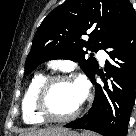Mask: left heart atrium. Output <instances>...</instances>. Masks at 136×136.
<instances>
[{
	"label": "left heart atrium",
	"instance_id": "39dd6f15",
	"mask_svg": "<svg viewBox=\"0 0 136 136\" xmlns=\"http://www.w3.org/2000/svg\"><path fill=\"white\" fill-rule=\"evenodd\" d=\"M75 85L77 87L79 99H80V101H82L86 95V92H87L86 83L82 78H80L75 82Z\"/></svg>",
	"mask_w": 136,
	"mask_h": 136
}]
</instances>
